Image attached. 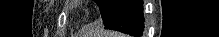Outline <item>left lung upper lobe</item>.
Instances as JSON below:
<instances>
[{
    "instance_id": "1",
    "label": "left lung upper lobe",
    "mask_w": 219,
    "mask_h": 37,
    "mask_svg": "<svg viewBox=\"0 0 219 37\" xmlns=\"http://www.w3.org/2000/svg\"><path fill=\"white\" fill-rule=\"evenodd\" d=\"M94 1L99 5L101 16L104 25L106 27L122 0H94Z\"/></svg>"
}]
</instances>
